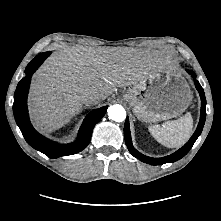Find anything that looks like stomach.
Segmentation results:
<instances>
[{
    "label": "stomach",
    "mask_w": 221,
    "mask_h": 221,
    "mask_svg": "<svg viewBox=\"0 0 221 221\" xmlns=\"http://www.w3.org/2000/svg\"><path fill=\"white\" fill-rule=\"evenodd\" d=\"M123 98L143 122L175 118L190 104L191 92L185 79L169 67L150 73L128 89Z\"/></svg>",
    "instance_id": "1"
}]
</instances>
